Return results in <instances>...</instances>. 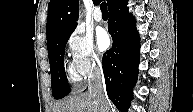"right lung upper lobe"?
<instances>
[{"mask_svg":"<svg viewBox=\"0 0 193 112\" xmlns=\"http://www.w3.org/2000/svg\"><path fill=\"white\" fill-rule=\"evenodd\" d=\"M120 0H107L108 9ZM96 4V0H93ZM78 0H51L46 24L47 45L60 33L77 26Z\"/></svg>","mask_w":193,"mask_h":112,"instance_id":"obj_1","label":"right lung upper lobe"}]
</instances>
